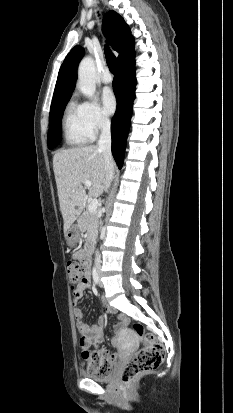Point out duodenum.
Returning a JSON list of instances; mask_svg holds the SVG:
<instances>
[{"mask_svg": "<svg viewBox=\"0 0 233 413\" xmlns=\"http://www.w3.org/2000/svg\"><path fill=\"white\" fill-rule=\"evenodd\" d=\"M92 250H93V241L89 240L86 243V246H85V249H84L85 259H88L90 257Z\"/></svg>", "mask_w": 233, "mask_h": 413, "instance_id": "410a0bca", "label": "duodenum"}]
</instances>
